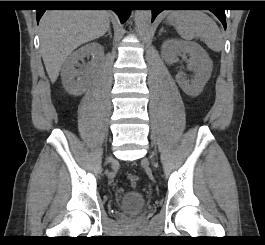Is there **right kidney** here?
I'll list each match as a JSON object with an SVG mask.
<instances>
[{"mask_svg": "<svg viewBox=\"0 0 265 245\" xmlns=\"http://www.w3.org/2000/svg\"><path fill=\"white\" fill-rule=\"evenodd\" d=\"M92 56L91 61L82 69L75 66L79 60ZM104 57V48L97 42L82 46L73 52L64 62L61 77L65 90L75 96L82 95L87 88L89 78L98 71Z\"/></svg>", "mask_w": 265, "mask_h": 245, "instance_id": "ca27d5eb", "label": "right kidney"}]
</instances>
